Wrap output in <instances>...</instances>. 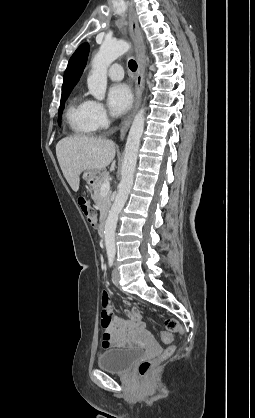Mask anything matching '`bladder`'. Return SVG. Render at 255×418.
Segmentation results:
<instances>
[{
  "instance_id": "obj_1",
  "label": "bladder",
  "mask_w": 255,
  "mask_h": 418,
  "mask_svg": "<svg viewBox=\"0 0 255 418\" xmlns=\"http://www.w3.org/2000/svg\"><path fill=\"white\" fill-rule=\"evenodd\" d=\"M141 354L142 349L134 346L109 349L98 356L97 365L105 371L125 373Z\"/></svg>"
}]
</instances>
